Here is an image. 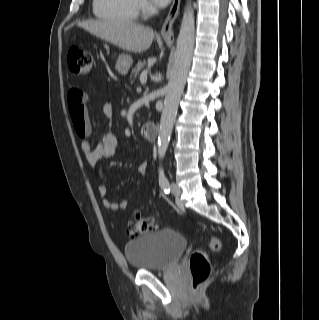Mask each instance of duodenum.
<instances>
[{"label": "duodenum", "mask_w": 319, "mask_h": 320, "mask_svg": "<svg viewBox=\"0 0 319 320\" xmlns=\"http://www.w3.org/2000/svg\"><path fill=\"white\" fill-rule=\"evenodd\" d=\"M140 132L142 137L148 141H155L158 136V128L156 124L151 122L144 123Z\"/></svg>", "instance_id": "1"}]
</instances>
